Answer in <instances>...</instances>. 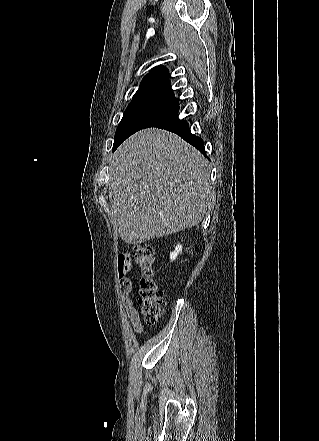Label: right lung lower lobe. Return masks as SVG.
<instances>
[{
	"mask_svg": "<svg viewBox=\"0 0 319 441\" xmlns=\"http://www.w3.org/2000/svg\"><path fill=\"white\" fill-rule=\"evenodd\" d=\"M178 111L179 105L176 104L173 108L155 118L145 128L157 127L171 131L182 137L206 156L203 140L191 133L187 121L179 119Z\"/></svg>",
	"mask_w": 319,
	"mask_h": 441,
	"instance_id": "98d812e1",
	"label": "right lung lower lobe"
}]
</instances>
